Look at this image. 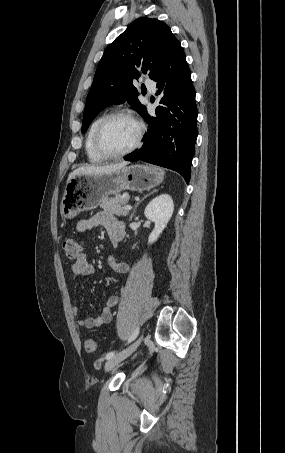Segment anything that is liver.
<instances>
[{
	"label": "liver",
	"instance_id": "6515ba94",
	"mask_svg": "<svg viewBox=\"0 0 285 453\" xmlns=\"http://www.w3.org/2000/svg\"><path fill=\"white\" fill-rule=\"evenodd\" d=\"M127 164L128 162H121L118 164H111L107 166H82L75 169L73 172L69 174L68 181L77 175H98L116 171L125 167Z\"/></svg>",
	"mask_w": 285,
	"mask_h": 453
}]
</instances>
